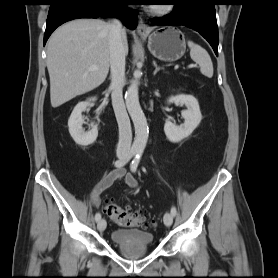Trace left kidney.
Returning <instances> with one entry per match:
<instances>
[{
    "label": "left kidney",
    "instance_id": "obj_1",
    "mask_svg": "<svg viewBox=\"0 0 278 278\" xmlns=\"http://www.w3.org/2000/svg\"><path fill=\"white\" fill-rule=\"evenodd\" d=\"M168 103H175L185 105L186 110L182 111L184 123L177 126L166 120L164 125V132L170 142L177 143L187 138L199 125L202 120V115L199 108V103L192 95H176L168 99Z\"/></svg>",
    "mask_w": 278,
    "mask_h": 278
}]
</instances>
